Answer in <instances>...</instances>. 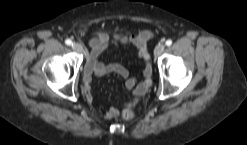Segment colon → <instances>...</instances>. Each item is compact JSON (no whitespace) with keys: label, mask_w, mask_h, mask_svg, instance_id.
Returning a JSON list of instances; mask_svg holds the SVG:
<instances>
[{"label":"colon","mask_w":247,"mask_h":145,"mask_svg":"<svg viewBox=\"0 0 247 145\" xmlns=\"http://www.w3.org/2000/svg\"><path fill=\"white\" fill-rule=\"evenodd\" d=\"M121 117L124 120H132L135 117V113L132 109L124 108L121 111Z\"/></svg>","instance_id":"1"}]
</instances>
